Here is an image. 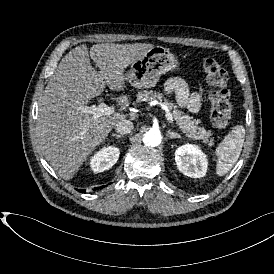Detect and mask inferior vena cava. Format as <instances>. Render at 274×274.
<instances>
[{
  "label": "inferior vena cava",
  "mask_w": 274,
  "mask_h": 274,
  "mask_svg": "<svg viewBox=\"0 0 274 274\" xmlns=\"http://www.w3.org/2000/svg\"><path fill=\"white\" fill-rule=\"evenodd\" d=\"M133 128V122H131L130 120H122L115 125L116 132L122 135L130 133Z\"/></svg>",
  "instance_id": "inferior-vena-cava-1"
}]
</instances>
